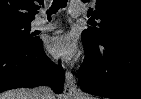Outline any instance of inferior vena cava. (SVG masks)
I'll return each mask as SVG.
<instances>
[{
    "label": "inferior vena cava",
    "mask_w": 141,
    "mask_h": 99,
    "mask_svg": "<svg viewBox=\"0 0 141 99\" xmlns=\"http://www.w3.org/2000/svg\"><path fill=\"white\" fill-rule=\"evenodd\" d=\"M35 99H54V93L48 86H39L34 90Z\"/></svg>",
    "instance_id": "inferior-vena-cava-1"
}]
</instances>
